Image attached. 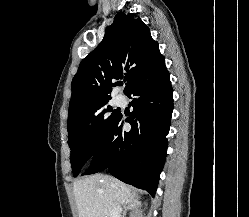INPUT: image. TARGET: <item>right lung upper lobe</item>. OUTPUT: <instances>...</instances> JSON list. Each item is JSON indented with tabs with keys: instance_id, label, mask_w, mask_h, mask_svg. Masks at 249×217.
<instances>
[{
	"instance_id": "1",
	"label": "right lung upper lobe",
	"mask_w": 249,
	"mask_h": 217,
	"mask_svg": "<svg viewBox=\"0 0 249 217\" xmlns=\"http://www.w3.org/2000/svg\"><path fill=\"white\" fill-rule=\"evenodd\" d=\"M159 54L158 43L140 18L133 13L117 14L102 42L79 65L72 80L68 118L110 100L114 80L124 77L126 93Z\"/></svg>"
}]
</instances>
